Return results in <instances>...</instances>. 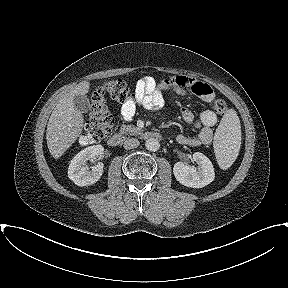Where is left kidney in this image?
<instances>
[{
	"label": "left kidney",
	"mask_w": 288,
	"mask_h": 288,
	"mask_svg": "<svg viewBox=\"0 0 288 288\" xmlns=\"http://www.w3.org/2000/svg\"><path fill=\"white\" fill-rule=\"evenodd\" d=\"M193 160L198 164V168L185 165L183 162H177L173 167V173L176 180L182 185L191 188H202L214 180V168L210 159L203 153L195 152Z\"/></svg>",
	"instance_id": "obj_1"
}]
</instances>
